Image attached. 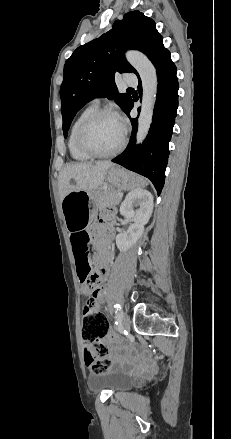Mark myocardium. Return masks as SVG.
<instances>
[{"instance_id":"obj_1","label":"myocardium","mask_w":231,"mask_h":439,"mask_svg":"<svg viewBox=\"0 0 231 439\" xmlns=\"http://www.w3.org/2000/svg\"><path fill=\"white\" fill-rule=\"evenodd\" d=\"M104 116L113 117V118L117 119V115L113 111H111L109 109H97L82 121V123L80 124V126L77 130V134H76L77 145L81 151H83L86 155H88L91 158L104 159V158L114 157L125 148L126 143H127V132H126V129H124L121 142L119 143V145L115 149H113L110 152L100 153V152L95 151L93 148H91L89 146V144L86 141V133H87L88 129L90 128V126L96 120H98L99 118L104 117Z\"/></svg>"}]
</instances>
